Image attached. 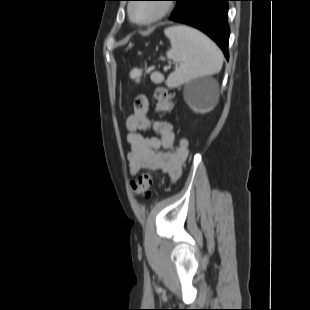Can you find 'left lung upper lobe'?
<instances>
[{"label": "left lung upper lobe", "mask_w": 310, "mask_h": 310, "mask_svg": "<svg viewBox=\"0 0 310 310\" xmlns=\"http://www.w3.org/2000/svg\"><path fill=\"white\" fill-rule=\"evenodd\" d=\"M173 1H176L177 4H176V7L172 13L171 19L175 18L179 14V12L182 10V8L186 2V0H173Z\"/></svg>", "instance_id": "5c2ea615"}]
</instances>
